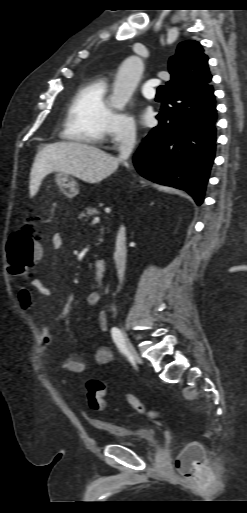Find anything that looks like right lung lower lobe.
I'll return each mask as SVG.
<instances>
[{"label":"right lung lower lobe","instance_id":"98d812e1","mask_svg":"<svg viewBox=\"0 0 247 513\" xmlns=\"http://www.w3.org/2000/svg\"><path fill=\"white\" fill-rule=\"evenodd\" d=\"M158 126L133 157L138 172L159 184L187 191L197 205L216 148V102L213 87L194 93H165Z\"/></svg>","mask_w":247,"mask_h":513}]
</instances>
